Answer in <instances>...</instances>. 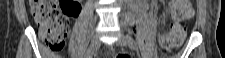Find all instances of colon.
<instances>
[{"label": "colon", "mask_w": 225, "mask_h": 58, "mask_svg": "<svg viewBox=\"0 0 225 58\" xmlns=\"http://www.w3.org/2000/svg\"><path fill=\"white\" fill-rule=\"evenodd\" d=\"M31 12L34 16L41 39L53 51L63 48L69 32V16H77L80 5L73 0H34ZM192 14L191 0H173L170 2V15L174 21L169 32L159 38L162 49L167 53L177 52L184 41V27L181 21ZM129 51H120L116 58H132Z\"/></svg>", "instance_id": "obj_1"}]
</instances>
